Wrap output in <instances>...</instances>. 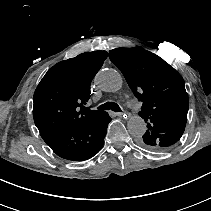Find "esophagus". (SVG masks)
Wrapping results in <instances>:
<instances>
[{
	"instance_id": "34e87169",
	"label": "esophagus",
	"mask_w": 211,
	"mask_h": 211,
	"mask_svg": "<svg viewBox=\"0 0 211 211\" xmlns=\"http://www.w3.org/2000/svg\"><path fill=\"white\" fill-rule=\"evenodd\" d=\"M116 115H117L118 117H123L122 119H123V121H125V122L128 121V119H129V118H128L129 115H128L127 113H124V112H117Z\"/></svg>"
}]
</instances>
